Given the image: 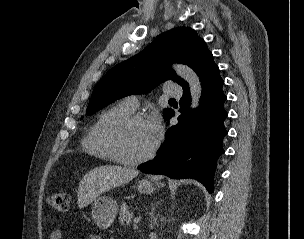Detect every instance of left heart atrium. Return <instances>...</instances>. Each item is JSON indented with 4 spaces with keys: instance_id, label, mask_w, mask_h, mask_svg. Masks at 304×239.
Instances as JSON below:
<instances>
[{
    "instance_id": "left-heart-atrium-1",
    "label": "left heart atrium",
    "mask_w": 304,
    "mask_h": 239,
    "mask_svg": "<svg viewBox=\"0 0 304 239\" xmlns=\"http://www.w3.org/2000/svg\"><path fill=\"white\" fill-rule=\"evenodd\" d=\"M149 132L154 140L157 139L160 133V121L157 117H153L147 122Z\"/></svg>"
}]
</instances>
